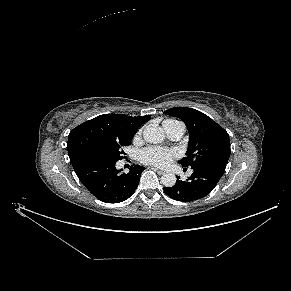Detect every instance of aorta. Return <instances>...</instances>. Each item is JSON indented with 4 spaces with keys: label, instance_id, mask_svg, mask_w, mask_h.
I'll return each instance as SVG.
<instances>
[{
    "label": "aorta",
    "instance_id": "1",
    "mask_svg": "<svg viewBox=\"0 0 291 291\" xmlns=\"http://www.w3.org/2000/svg\"><path fill=\"white\" fill-rule=\"evenodd\" d=\"M143 138L148 143H161L165 139L164 132L155 125L147 126L143 131ZM161 182L165 187H172L176 183V176L173 173H165L161 177Z\"/></svg>",
    "mask_w": 291,
    "mask_h": 291
}]
</instances>
